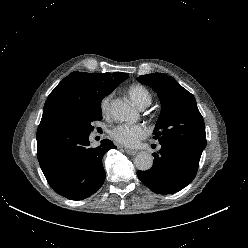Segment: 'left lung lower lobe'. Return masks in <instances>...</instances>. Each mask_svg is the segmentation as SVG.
I'll list each match as a JSON object with an SVG mask.
<instances>
[{
  "label": "left lung lower lobe",
  "instance_id": "left-lung-lower-lobe-1",
  "mask_svg": "<svg viewBox=\"0 0 248 248\" xmlns=\"http://www.w3.org/2000/svg\"><path fill=\"white\" fill-rule=\"evenodd\" d=\"M153 166L147 171H138L142 183L158 194H173L189 185L195 178L199 161L183 148L162 144L158 153H153Z\"/></svg>",
  "mask_w": 248,
  "mask_h": 248
}]
</instances>
